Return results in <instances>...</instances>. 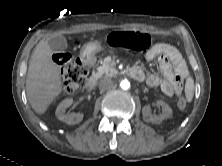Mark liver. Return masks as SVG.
<instances>
[{"label":"liver","instance_id":"obj_1","mask_svg":"<svg viewBox=\"0 0 222 166\" xmlns=\"http://www.w3.org/2000/svg\"><path fill=\"white\" fill-rule=\"evenodd\" d=\"M51 56L48 40L43 39L34 49L28 66L26 94L38 114H44L62 92L61 74Z\"/></svg>","mask_w":222,"mask_h":166}]
</instances>
